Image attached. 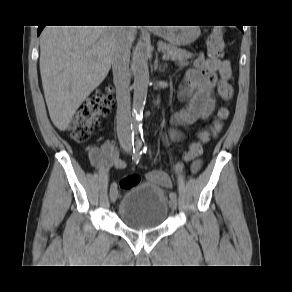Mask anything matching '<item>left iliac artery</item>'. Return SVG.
<instances>
[{
	"label": "left iliac artery",
	"instance_id": "left-iliac-artery-1",
	"mask_svg": "<svg viewBox=\"0 0 292 292\" xmlns=\"http://www.w3.org/2000/svg\"><path fill=\"white\" fill-rule=\"evenodd\" d=\"M146 150H147V147H143V148H142V151H143L144 153H146ZM169 197H170L171 200H176V198H177V194H176L175 192H170Z\"/></svg>",
	"mask_w": 292,
	"mask_h": 292
}]
</instances>
